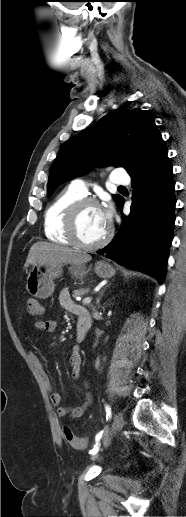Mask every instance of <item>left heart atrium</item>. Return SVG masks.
I'll use <instances>...</instances> for the list:
<instances>
[{
    "mask_svg": "<svg viewBox=\"0 0 186 517\" xmlns=\"http://www.w3.org/2000/svg\"><path fill=\"white\" fill-rule=\"evenodd\" d=\"M100 210H101V215H102L104 222L108 225L112 220L111 207L109 205H106V206L100 208Z\"/></svg>",
    "mask_w": 186,
    "mask_h": 517,
    "instance_id": "left-heart-atrium-1",
    "label": "left heart atrium"
}]
</instances>
